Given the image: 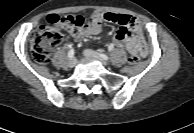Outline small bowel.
Listing matches in <instances>:
<instances>
[{"instance_id": "small-bowel-1", "label": "small bowel", "mask_w": 194, "mask_h": 133, "mask_svg": "<svg viewBox=\"0 0 194 133\" xmlns=\"http://www.w3.org/2000/svg\"><path fill=\"white\" fill-rule=\"evenodd\" d=\"M104 22L119 24L121 27L115 33L112 43L108 49L123 47L132 56L138 54L140 57H146L148 53L147 42L143 23L134 16L113 13V12H94L89 21L76 34H72L76 40H82L85 37L98 35Z\"/></svg>"}]
</instances>
